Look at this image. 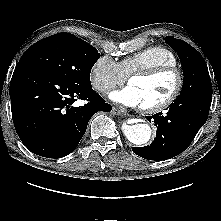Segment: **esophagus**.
<instances>
[{
  "label": "esophagus",
  "mask_w": 221,
  "mask_h": 221,
  "mask_svg": "<svg viewBox=\"0 0 221 221\" xmlns=\"http://www.w3.org/2000/svg\"><path fill=\"white\" fill-rule=\"evenodd\" d=\"M111 112L114 115H125V113H126L125 109H119L117 107H113Z\"/></svg>",
  "instance_id": "34e87169"
}]
</instances>
